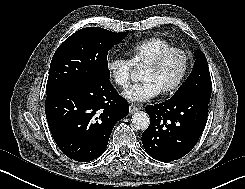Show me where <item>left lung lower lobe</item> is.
<instances>
[{
  "label": "left lung lower lobe",
  "mask_w": 245,
  "mask_h": 189,
  "mask_svg": "<svg viewBox=\"0 0 245 189\" xmlns=\"http://www.w3.org/2000/svg\"><path fill=\"white\" fill-rule=\"evenodd\" d=\"M209 101L208 97L186 94L147 106L151 122L142 134L146 152L159 161L186 155L204 130Z\"/></svg>",
  "instance_id": "left-lung-lower-lobe-1"
}]
</instances>
